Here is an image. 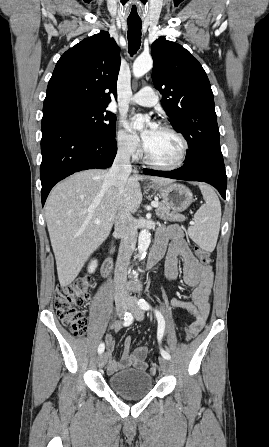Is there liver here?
Listing matches in <instances>:
<instances>
[{
    "label": "liver",
    "instance_id": "obj_1",
    "mask_svg": "<svg viewBox=\"0 0 269 447\" xmlns=\"http://www.w3.org/2000/svg\"><path fill=\"white\" fill-rule=\"evenodd\" d=\"M106 174L107 170L74 174L57 184L47 198L45 218L63 287L77 277L88 255L108 237L119 208L135 214L142 202L139 180L147 176H131L119 194ZM150 180L157 186L173 182L153 176Z\"/></svg>",
    "mask_w": 269,
    "mask_h": 447
}]
</instances>
